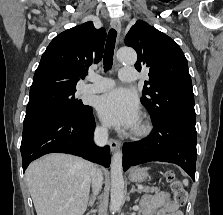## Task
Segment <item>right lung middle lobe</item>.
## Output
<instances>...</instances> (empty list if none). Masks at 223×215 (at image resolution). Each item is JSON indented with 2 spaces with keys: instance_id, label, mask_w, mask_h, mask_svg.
<instances>
[{
  "instance_id": "right-lung-middle-lobe-1",
  "label": "right lung middle lobe",
  "mask_w": 223,
  "mask_h": 215,
  "mask_svg": "<svg viewBox=\"0 0 223 215\" xmlns=\"http://www.w3.org/2000/svg\"><path fill=\"white\" fill-rule=\"evenodd\" d=\"M76 90H43L30 92L24 122L52 116L83 119L92 108L74 97Z\"/></svg>"
}]
</instances>
